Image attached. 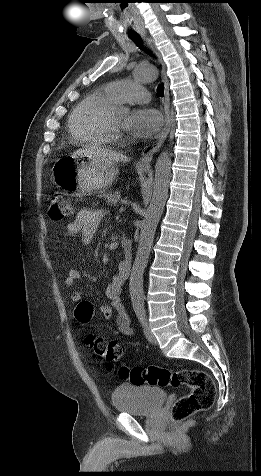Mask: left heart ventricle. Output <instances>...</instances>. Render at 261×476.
Listing matches in <instances>:
<instances>
[{
    "mask_svg": "<svg viewBox=\"0 0 261 476\" xmlns=\"http://www.w3.org/2000/svg\"><path fill=\"white\" fill-rule=\"evenodd\" d=\"M127 119V115L124 113H116L113 115L114 122L119 126H124Z\"/></svg>",
    "mask_w": 261,
    "mask_h": 476,
    "instance_id": "b2bd125f",
    "label": "left heart ventricle"
}]
</instances>
